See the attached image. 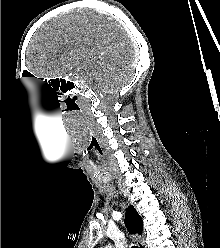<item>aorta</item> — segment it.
Returning a JSON list of instances; mask_svg holds the SVG:
<instances>
[{"label":"aorta","instance_id":"1","mask_svg":"<svg viewBox=\"0 0 220 248\" xmlns=\"http://www.w3.org/2000/svg\"><path fill=\"white\" fill-rule=\"evenodd\" d=\"M106 248H111V246H108V247H106Z\"/></svg>","mask_w":220,"mask_h":248}]
</instances>
